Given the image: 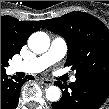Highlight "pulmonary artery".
I'll return each instance as SVG.
<instances>
[{
    "mask_svg": "<svg viewBox=\"0 0 109 109\" xmlns=\"http://www.w3.org/2000/svg\"><path fill=\"white\" fill-rule=\"evenodd\" d=\"M66 53V41L61 37H56L52 40L50 48L45 53L29 60L14 63L12 70L14 72L39 73L60 61ZM75 80V76L70 78L71 82H75Z\"/></svg>",
    "mask_w": 109,
    "mask_h": 109,
    "instance_id": "obj_1",
    "label": "pulmonary artery"
}]
</instances>
